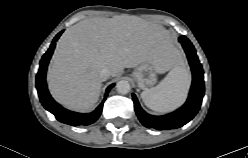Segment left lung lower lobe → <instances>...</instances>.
<instances>
[{"mask_svg":"<svg viewBox=\"0 0 248 158\" xmlns=\"http://www.w3.org/2000/svg\"><path fill=\"white\" fill-rule=\"evenodd\" d=\"M179 42L182 44L192 70V86L186 103L178 110L164 115L152 116L147 114L140 107L134 94V108L140 122L147 128L157 130L175 129L188 123L198 112L204 96L203 70L199 63L195 48L188 38L181 36Z\"/></svg>","mask_w":248,"mask_h":158,"instance_id":"left-lung-lower-lobe-1","label":"left lung lower lobe"}]
</instances>
